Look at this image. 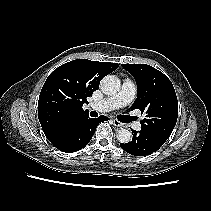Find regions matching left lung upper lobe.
<instances>
[{
  "instance_id": "obj_1",
  "label": "left lung upper lobe",
  "mask_w": 211,
  "mask_h": 211,
  "mask_svg": "<svg viewBox=\"0 0 211 211\" xmlns=\"http://www.w3.org/2000/svg\"><path fill=\"white\" fill-rule=\"evenodd\" d=\"M137 83L138 95L131 110L146 116L141 131L162 143L172 133L178 116V102L171 81L159 70L146 64H122Z\"/></svg>"
}]
</instances>
